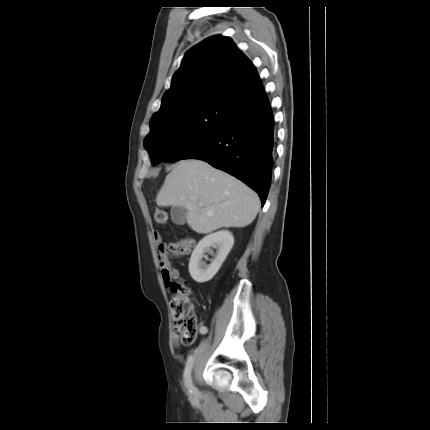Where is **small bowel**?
I'll use <instances>...</instances> for the list:
<instances>
[{
    "instance_id": "1",
    "label": "small bowel",
    "mask_w": 430,
    "mask_h": 430,
    "mask_svg": "<svg viewBox=\"0 0 430 430\" xmlns=\"http://www.w3.org/2000/svg\"><path fill=\"white\" fill-rule=\"evenodd\" d=\"M155 241L157 243V248L159 249L160 246H164L165 243L162 240V237L159 233H155ZM158 257V263L160 265L161 271H162V280L166 287H173L175 284V281L173 278H178L180 275V272L176 268L170 267L169 264V258L166 256L165 252L160 251L157 254ZM208 332V328L205 325H201L199 327V333L201 335H205ZM172 341L175 346L179 345V336L174 332L172 334Z\"/></svg>"
}]
</instances>
